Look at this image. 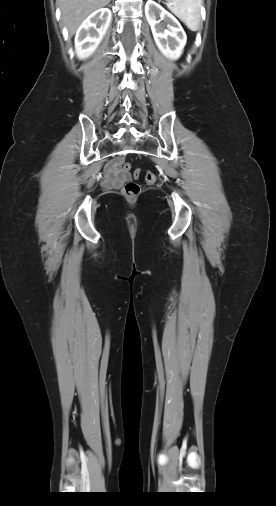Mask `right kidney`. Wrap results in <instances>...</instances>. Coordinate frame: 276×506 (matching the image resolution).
I'll return each instance as SVG.
<instances>
[{
  "mask_svg": "<svg viewBox=\"0 0 276 506\" xmlns=\"http://www.w3.org/2000/svg\"><path fill=\"white\" fill-rule=\"evenodd\" d=\"M112 13L101 8L89 15L78 28L75 36V48L80 59L91 56L102 41L111 21Z\"/></svg>",
  "mask_w": 276,
  "mask_h": 506,
  "instance_id": "1",
  "label": "right kidney"
}]
</instances>
